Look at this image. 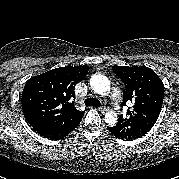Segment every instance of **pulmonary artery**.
Here are the masks:
<instances>
[{
    "label": "pulmonary artery",
    "mask_w": 179,
    "mask_h": 179,
    "mask_svg": "<svg viewBox=\"0 0 179 179\" xmlns=\"http://www.w3.org/2000/svg\"><path fill=\"white\" fill-rule=\"evenodd\" d=\"M109 97H110V102H111L113 109L116 112H119L120 111V100H121L120 92L117 89H113L112 92L110 93Z\"/></svg>",
    "instance_id": "1"
}]
</instances>
